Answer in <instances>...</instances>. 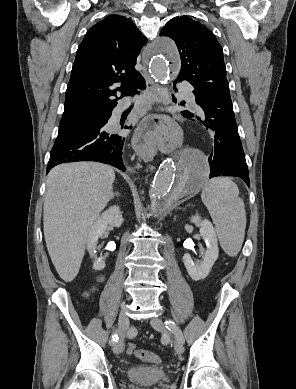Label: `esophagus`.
Instances as JSON below:
<instances>
[{"label":"esophagus","mask_w":296,"mask_h":389,"mask_svg":"<svg viewBox=\"0 0 296 389\" xmlns=\"http://www.w3.org/2000/svg\"><path fill=\"white\" fill-rule=\"evenodd\" d=\"M144 78L148 91L162 100L165 90L154 82L147 71L144 72ZM178 126V121L172 119L170 112H149L145 122L137 123L132 136L133 151H136L139 157H152L155 152L152 139L158 138L160 131L169 134Z\"/></svg>","instance_id":"1"}]
</instances>
